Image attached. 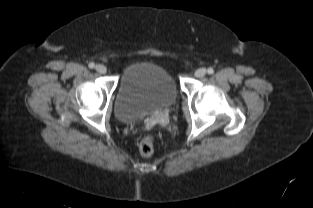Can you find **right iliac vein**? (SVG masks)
Wrapping results in <instances>:
<instances>
[{
    "mask_svg": "<svg viewBox=\"0 0 313 208\" xmlns=\"http://www.w3.org/2000/svg\"><path fill=\"white\" fill-rule=\"evenodd\" d=\"M95 69L98 73L105 74L107 72V68L102 64H97Z\"/></svg>",
    "mask_w": 313,
    "mask_h": 208,
    "instance_id": "obj_1",
    "label": "right iliac vein"
}]
</instances>
